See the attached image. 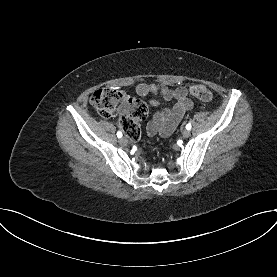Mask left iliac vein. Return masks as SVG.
Returning a JSON list of instances; mask_svg holds the SVG:
<instances>
[{
  "instance_id": "1",
  "label": "left iliac vein",
  "mask_w": 277,
  "mask_h": 277,
  "mask_svg": "<svg viewBox=\"0 0 277 277\" xmlns=\"http://www.w3.org/2000/svg\"><path fill=\"white\" fill-rule=\"evenodd\" d=\"M190 134H191V132L189 130H187V129L182 131V136L184 138H188L190 136Z\"/></svg>"
}]
</instances>
